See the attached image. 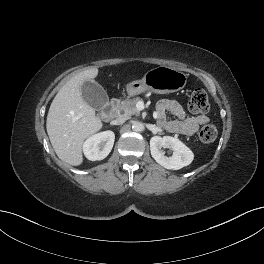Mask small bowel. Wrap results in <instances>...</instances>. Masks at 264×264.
I'll return each mask as SVG.
<instances>
[{
    "label": "small bowel",
    "instance_id": "obj_1",
    "mask_svg": "<svg viewBox=\"0 0 264 264\" xmlns=\"http://www.w3.org/2000/svg\"><path fill=\"white\" fill-rule=\"evenodd\" d=\"M172 114L175 119H168L167 114ZM158 123L171 133L194 135L200 126L208 123L206 115L187 116L182 106L175 100H161L156 107Z\"/></svg>",
    "mask_w": 264,
    "mask_h": 264
}]
</instances>
